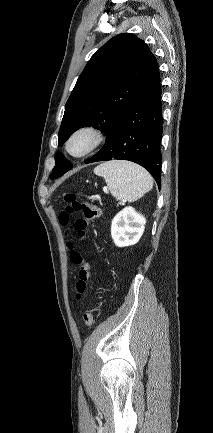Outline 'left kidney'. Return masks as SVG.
<instances>
[{"label": "left kidney", "instance_id": "1", "mask_svg": "<svg viewBox=\"0 0 213 433\" xmlns=\"http://www.w3.org/2000/svg\"><path fill=\"white\" fill-rule=\"evenodd\" d=\"M146 219L132 207H125L112 220L111 236L116 246L135 245L144 232Z\"/></svg>", "mask_w": 213, "mask_h": 433}]
</instances>
